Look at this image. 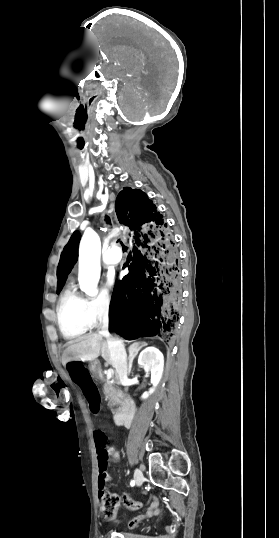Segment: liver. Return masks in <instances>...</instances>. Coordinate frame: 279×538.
I'll return each instance as SVG.
<instances>
[{"label": "liver", "instance_id": "liver-1", "mask_svg": "<svg viewBox=\"0 0 279 538\" xmlns=\"http://www.w3.org/2000/svg\"><path fill=\"white\" fill-rule=\"evenodd\" d=\"M135 342V340H133ZM145 346V342H135L132 346ZM68 348L65 350V354L70 356L71 360H81V362H93L98 356H102L106 360L107 364H111L110 350L107 342H103L102 334H87L83 336L81 340H75V342H68Z\"/></svg>", "mask_w": 279, "mask_h": 538}]
</instances>
